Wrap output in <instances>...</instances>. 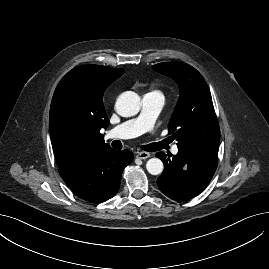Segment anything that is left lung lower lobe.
Returning a JSON list of instances; mask_svg holds the SVG:
<instances>
[{"mask_svg": "<svg viewBox=\"0 0 269 269\" xmlns=\"http://www.w3.org/2000/svg\"><path fill=\"white\" fill-rule=\"evenodd\" d=\"M219 145H206L200 149H181L172 159L163 152L156 156L164 163L157 179L159 189L177 201L191 199L200 194L212 179L217 168Z\"/></svg>", "mask_w": 269, "mask_h": 269, "instance_id": "0a47b994", "label": "left lung lower lobe"}]
</instances>
